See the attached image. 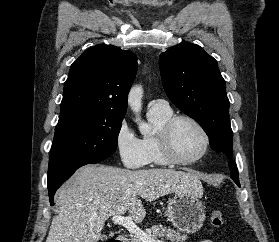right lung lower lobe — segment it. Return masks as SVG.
Here are the masks:
<instances>
[{
  "mask_svg": "<svg viewBox=\"0 0 279 242\" xmlns=\"http://www.w3.org/2000/svg\"><path fill=\"white\" fill-rule=\"evenodd\" d=\"M106 156H92L86 157L83 159L78 160L70 164L68 167L64 168L57 174L52 177L48 178V192H49V200L51 205L54 204V194L56 190L68 179L70 178L73 173L83 165L86 164H93L106 159Z\"/></svg>",
  "mask_w": 279,
  "mask_h": 242,
  "instance_id": "obj_1",
  "label": "right lung lower lobe"
}]
</instances>
